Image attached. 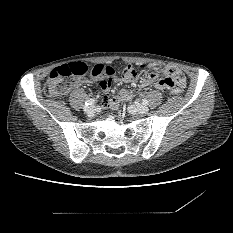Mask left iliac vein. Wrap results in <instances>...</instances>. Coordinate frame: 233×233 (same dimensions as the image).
<instances>
[{"mask_svg":"<svg viewBox=\"0 0 233 233\" xmlns=\"http://www.w3.org/2000/svg\"><path fill=\"white\" fill-rule=\"evenodd\" d=\"M128 110L132 114L137 113V114L143 115V114H146L149 111V108L146 105L138 104V105H130L128 107Z\"/></svg>","mask_w":233,"mask_h":233,"instance_id":"obj_1","label":"left iliac vein"}]
</instances>
